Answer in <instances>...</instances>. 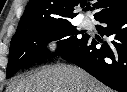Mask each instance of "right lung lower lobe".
I'll return each instance as SVG.
<instances>
[{
	"instance_id": "1",
	"label": "right lung lower lobe",
	"mask_w": 127,
	"mask_h": 92,
	"mask_svg": "<svg viewBox=\"0 0 127 92\" xmlns=\"http://www.w3.org/2000/svg\"><path fill=\"white\" fill-rule=\"evenodd\" d=\"M99 33L110 37L109 42L96 48L98 41L89 35L76 49L62 58L83 68L107 86L127 92V8L97 19Z\"/></svg>"
}]
</instances>
